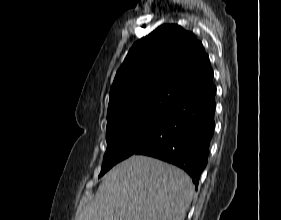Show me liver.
Returning a JSON list of instances; mask_svg holds the SVG:
<instances>
[{"instance_id": "1", "label": "liver", "mask_w": 281, "mask_h": 220, "mask_svg": "<svg viewBox=\"0 0 281 220\" xmlns=\"http://www.w3.org/2000/svg\"><path fill=\"white\" fill-rule=\"evenodd\" d=\"M194 186L182 169L133 155L104 175L75 220H184Z\"/></svg>"}]
</instances>
